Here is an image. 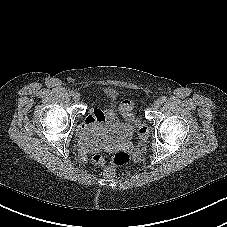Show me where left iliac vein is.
I'll return each mask as SVG.
<instances>
[{
	"label": "left iliac vein",
	"mask_w": 227,
	"mask_h": 227,
	"mask_svg": "<svg viewBox=\"0 0 227 227\" xmlns=\"http://www.w3.org/2000/svg\"><path fill=\"white\" fill-rule=\"evenodd\" d=\"M161 104H162V103H161L160 100H155L154 103H153V107H154V108H159Z\"/></svg>",
	"instance_id": "obj_1"
}]
</instances>
